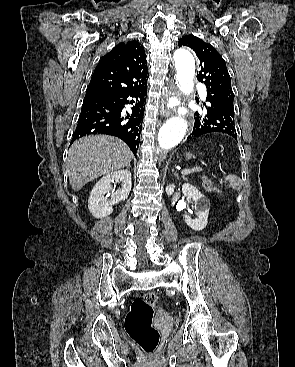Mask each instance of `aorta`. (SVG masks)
Here are the masks:
<instances>
[{
  "label": "aorta",
  "mask_w": 295,
  "mask_h": 367,
  "mask_svg": "<svg viewBox=\"0 0 295 367\" xmlns=\"http://www.w3.org/2000/svg\"><path fill=\"white\" fill-rule=\"evenodd\" d=\"M176 67V84L186 95L194 89L195 61L192 54L183 49L174 53ZM188 110L184 107L178 108V115L168 119L160 128L158 133V149L168 150L178 145L187 132L188 123L185 115Z\"/></svg>",
  "instance_id": "1"
}]
</instances>
